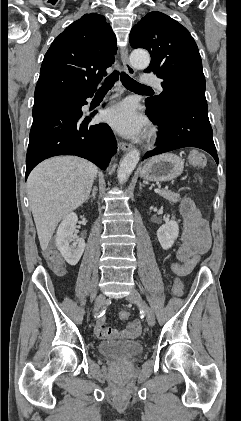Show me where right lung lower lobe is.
I'll list each match as a JSON object with an SVG mask.
<instances>
[{
  "instance_id": "98d812e1",
  "label": "right lung lower lobe",
  "mask_w": 241,
  "mask_h": 421,
  "mask_svg": "<svg viewBox=\"0 0 241 421\" xmlns=\"http://www.w3.org/2000/svg\"><path fill=\"white\" fill-rule=\"evenodd\" d=\"M95 91L62 95L33 106L25 180L38 163L57 155H76L106 169L117 151L112 130L105 123L89 125L92 117L81 111Z\"/></svg>"
}]
</instances>
